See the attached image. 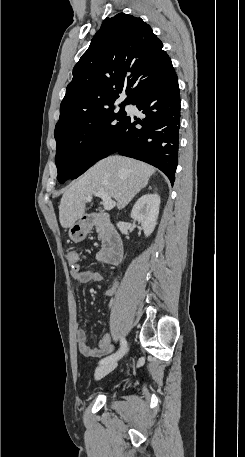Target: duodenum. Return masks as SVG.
Instances as JSON below:
<instances>
[{
	"instance_id": "duodenum-1",
	"label": "duodenum",
	"mask_w": 245,
	"mask_h": 457,
	"mask_svg": "<svg viewBox=\"0 0 245 457\" xmlns=\"http://www.w3.org/2000/svg\"><path fill=\"white\" fill-rule=\"evenodd\" d=\"M86 225L100 226L105 232V243L98 259L107 264H118L123 258V242L108 214H91L85 218Z\"/></svg>"
}]
</instances>
